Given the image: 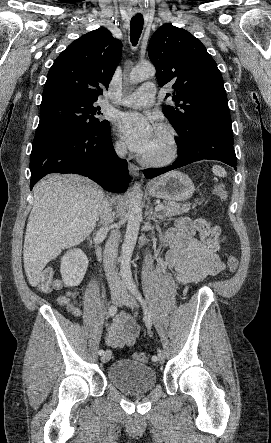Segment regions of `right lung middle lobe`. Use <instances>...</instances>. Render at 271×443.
Returning a JSON list of instances; mask_svg holds the SVG:
<instances>
[{
  "mask_svg": "<svg viewBox=\"0 0 271 443\" xmlns=\"http://www.w3.org/2000/svg\"><path fill=\"white\" fill-rule=\"evenodd\" d=\"M100 107L93 103L76 99H56L41 103L40 121L36 132L54 126L70 127L81 131L93 132L109 122L97 117Z\"/></svg>",
  "mask_w": 271,
  "mask_h": 443,
  "instance_id": "1",
  "label": "right lung middle lobe"
}]
</instances>
